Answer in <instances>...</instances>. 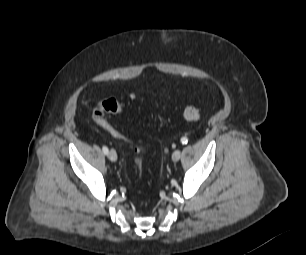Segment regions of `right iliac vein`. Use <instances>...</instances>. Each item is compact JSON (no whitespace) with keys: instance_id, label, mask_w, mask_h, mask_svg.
<instances>
[{"instance_id":"right-iliac-vein-1","label":"right iliac vein","mask_w":306,"mask_h":255,"mask_svg":"<svg viewBox=\"0 0 306 255\" xmlns=\"http://www.w3.org/2000/svg\"><path fill=\"white\" fill-rule=\"evenodd\" d=\"M108 157L111 161L115 162L117 160V153L115 150L111 149L109 154H108Z\"/></svg>"}]
</instances>
